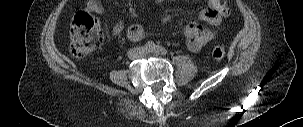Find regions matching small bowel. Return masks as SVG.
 Listing matches in <instances>:
<instances>
[{"label": "small bowel", "mask_w": 303, "mask_h": 127, "mask_svg": "<svg viewBox=\"0 0 303 127\" xmlns=\"http://www.w3.org/2000/svg\"><path fill=\"white\" fill-rule=\"evenodd\" d=\"M158 3L164 0H155ZM86 9L91 13L101 14L103 5L99 0H89ZM229 14L228 7L223 0H209V6L203 9L200 17L210 28L199 26L195 22H190L184 29L187 38V47L191 52L200 51L207 43H209L216 35L215 29L218 28L222 19ZM124 25L121 22L116 23L112 28V33L116 36L122 34ZM144 36V29L140 24H133L127 30V37L130 41H140Z\"/></svg>", "instance_id": "c3829d8e"}]
</instances>
